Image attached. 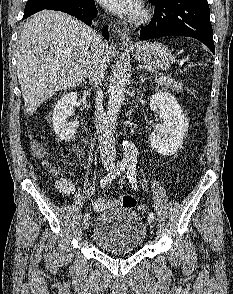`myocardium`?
<instances>
[{"mask_svg":"<svg viewBox=\"0 0 233 294\" xmlns=\"http://www.w3.org/2000/svg\"><path fill=\"white\" fill-rule=\"evenodd\" d=\"M149 18V13L147 11H143L138 17L137 21L138 22H144Z\"/></svg>","mask_w":233,"mask_h":294,"instance_id":"1","label":"myocardium"}]
</instances>
